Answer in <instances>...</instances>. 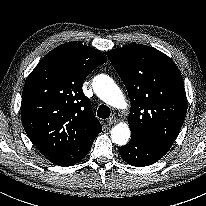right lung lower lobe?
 Returning <instances> with one entry per match:
<instances>
[{"label":"right lung lower lobe","mask_w":206,"mask_h":206,"mask_svg":"<svg viewBox=\"0 0 206 206\" xmlns=\"http://www.w3.org/2000/svg\"><path fill=\"white\" fill-rule=\"evenodd\" d=\"M96 136L92 137L91 139L87 140L80 146L70 151H67L65 153L53 157H49L48 160L60 166H69V165L76 164L80 162L87 155V153L91 149V146Z\"/></svg>","instance_id":"right-lung-lower-lobe-1"}]
</instances>
